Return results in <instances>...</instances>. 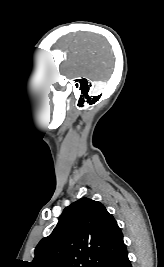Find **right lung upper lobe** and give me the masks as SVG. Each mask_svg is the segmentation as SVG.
<instances>
[{"label":"right lung upper lobe","instance_id":"right-lung-upper-lobe-1","mask_svg":"<svg viewBox=\"0 0 164 267\" xmlns=\"http://www.w3.org/2000/svg\"><path fill=\"white\" fill-rule=\"evenodd\" d=\"M125 247L114 217L98 201L81 198L66 207L53 232L35 249L31 267H98Z\"/></svg>","mask_w":164,"mask_h":267}]
</instances>
